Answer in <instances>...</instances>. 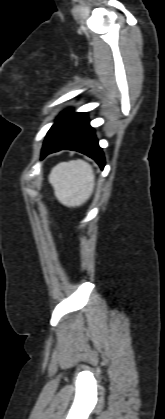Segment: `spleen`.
Wrapping results in <instances>:
<instances>
[{"mask_svg": "<svg viewBox=\"0 0 165 419\" xmlns=\"http://www.w3.org/2000/svg\"><path fill=\"white\" fill-rule=\"evenodd\" d=\"M49 182L61 204L76 207L85 203L92 195L95 176L89 163L77 159L54 166L49 174Z\"/></svg>", "mask_w": 165, "mask_h": 419, "instance_id": "obj_1", "label": "spleen"}]
</instances>
